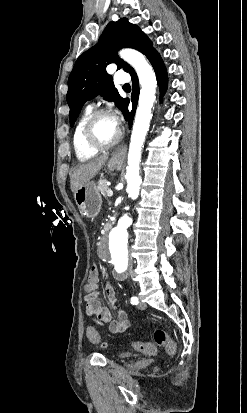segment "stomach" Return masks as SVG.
Instances as JSON below:
<instances>
[{
    "label": "stomach",
    "instance_id": "obj_1",
    "mask_svg": "<svg viewBox=\"0 0 247 413\" xmlns=\"http://www.w3.org/2000/svg\"><path fill=\"white\" fill-rule=\"evenodd\" d=\"M124 162V158L121 156H111L107 162V168L109 170H114L118 168ZM74 198L76 204H78V209L82 217H87V219H93L97 217L100 213L102 196L95 184V182H86L83 186H80L76 192H74Z\"/></svg>",
    "mask_w": 247,
    "mask_h": 413
}]
</instances>
